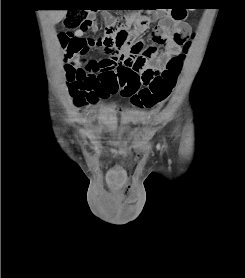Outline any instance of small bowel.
<instances>
[{"instance_id": "small-bowel-1", "label": "small bowel", "mask_w": 245, "mask_h": 278, "mask_svg": "<svg viewBox=\"0 0 245 278\" xmlns=\"http://www.w3.org/2000/svg\"><path fill=\"white\" fill-rule=\"evenodd\" d=\"M102 16L107 25L114 22V17L109 12L105 11ZM90 17L93 18V15ZM155 17L159 19L160 23V29L156 31L154 35L156 43L165 46L168 49L163 58H156L154 55H141L138 52H130L125 46H117L114 43L113 38L107 36H104L105 43H99V38L89 39L91 48H99L103 50L105 57L103 59L90 61L88 67L83 65L80 59H78L76 65L84 69L93 78L96 84V87L94 88L97 95L96 102L100 99H106L113 96L108 92V88L112 85L113 78L118 79L129 72L141 74L147 68L162 71L166 66L167 58L176 52L171 49L169 44V36L171 32L176 30L186 37L192 30L191 24L186 23L184 20H174L171 12L164 10L163 8H159L156 11ZM147 26L148 23L141 24L136 22V33L142 34L147 29ZM92 31H97V26H93ZM73 35L85 38V31L77 30ZM148 48H152V46L146 47V49ZM149 119V113H140L135 118H130L128 120L144 124L147 123ZM97 124L100 129H103L112 124V118L109 116L99 117L97 119Z\"/></svg>"}]
</instances>
